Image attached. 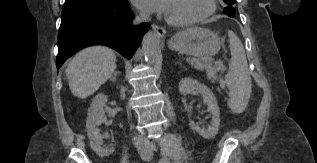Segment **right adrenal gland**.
Wrapping results in <instances>:
<instances>
[{"label":"right adrenal gland","instance_id":"obj_1","mask_svg":"<svg viewBox=\"0 0 317 163\" xmlns=\"http://www.w3.org/2000/svg\"><path fill=\"white\" fill-rule=\"evenodd\" d=\"M120 75V72L119 71H114L113 73H112V75L110 76V80L112 81V82H116V79H117V76H119Z\"/></svg>","mask_w":317,"mask_h":163}]
</instances>
